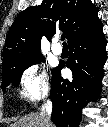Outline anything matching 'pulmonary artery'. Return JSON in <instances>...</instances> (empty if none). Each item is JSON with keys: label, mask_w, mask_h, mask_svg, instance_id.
<instances>
[{"label": "pulmonary artery", "mask_w": 108, "mask_h": 127, "mask_svg": "<svg viewBox=\"0 0 108 127\" xmlns=\"http://www.w3.org/2000/svg\"><path fill=\"white\" fill-rule=\"evenodd\" d=\"M52 52L55 54V55H61L62 54V47L60 44H58L57 42H55L53 45H52Z\"/></svg>", "instance_id": "pulmonary-artery-1"}]
</instances>
